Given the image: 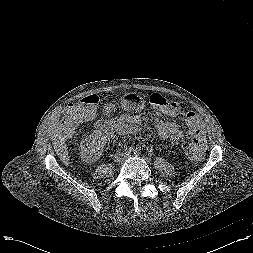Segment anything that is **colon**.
<instances>
[{
    "instance_id": "colon-1",
    "label": "colon",
    "mask_w": 253,
    "mask_h": 253,
    "mask_svg": "<svg viewBox=\"0 0 253 253\" xmlns=\"http://www.w3.org/2000/svg\"><path fill=\"white\" fill-rule=\"evenodd\" d=\"M149 101L158 111L177 115L179 108L175 103L168 101L160 94H152ZM101 103V98L97 95H88L74 103L68 105L62 115L61 126L67 133L71 134L76 131L79 124L92 119L96 114V109ZM180 116L184 119L189 127L192 139L187 146V155L191 160H200L206 149L207 140L205 128L200 117L194 112L181 113Z\"/></svg>"
}]
</instances>
